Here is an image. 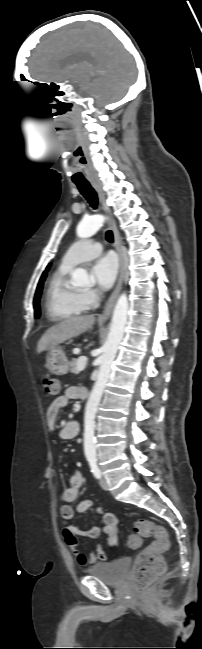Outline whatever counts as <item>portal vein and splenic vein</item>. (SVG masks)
I'll use <instances>...</instances> for the list:
<instances>
[{
	"mask_svg": "<svg viewBox=\"0 0 202 649\" xmlns=\"http://www.w3.org/2000/svg\"><path fill=\"white\" fill-rule=\"evenodd\" d=\"M87 364V358L86 357H80L79 360L77 361V367L79 371H83L86 367Z\"/></svg>",
	"mask_w": 202,
	"mask_h": 649,
	"instance_id": "1",
	"label": "portal vein and splenic vein"
}]
</instances>
